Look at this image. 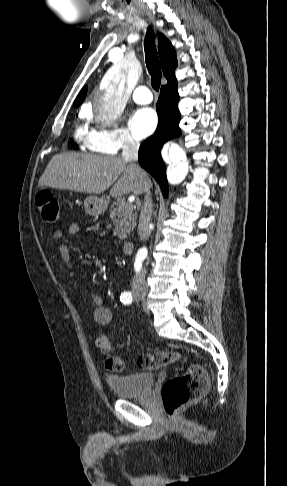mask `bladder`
<instances>
[{
  "mask_svg": "<svg viewBox=\"0 0 287 486\" xmlns=\"http://www.w3.org/2000/svg\"><path fill=\"white\" fill-rule=\"evenodd\" d=\"M105 381L118 397L131 398L147 394L154 385L155 375L152 373L107 375Z\"/></svg>",
  "mask_w": 287,
  "mask_h": 486,
  "instance_id": "1",
  "label": "bladder"
}]
</instances>
